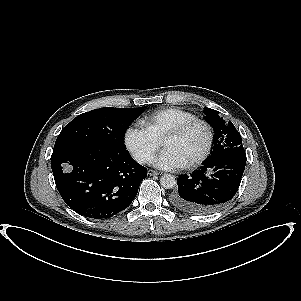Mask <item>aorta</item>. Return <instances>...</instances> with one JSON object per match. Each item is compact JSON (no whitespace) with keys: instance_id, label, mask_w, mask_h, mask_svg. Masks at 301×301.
<instances>
[{"instance_id":"obj_1","label":"aorta","mask_w":301,"mask_h":301,"mask_svg":"<svg viewBox=\"0 0 301 301\" xmlns=\"http://www.w3.org/2000/svg\"><path fill=\"white\" fill-rule=\"evenodd\" d=\"M176 178L171 174H164L160 178V185L165 189H172L176 186Z\"/></svg>"}]
</instances>
